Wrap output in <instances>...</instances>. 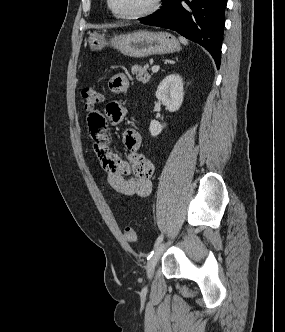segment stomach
Wrapping results in <instances>:
<instances>
[{"mask_svg": "<svg viewBox=\"0 0 285 332\" xmlns=\"http://www.w3.org/2000/svg\"><path fill=\"white\" fill-rule=\"evenodd\" d=\"M88 44L91 51H98L110 45L122 54L134 58H144L180 50L179 42L168 32L137 31L114 36L108 42L103 34L89 31Z\"/></svg>", "mask_w": 285, "mask_h": 332, "instance_id": "1", "label": "stomach"}]
</instances>
